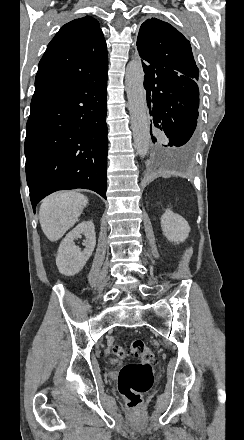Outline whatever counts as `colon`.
I'll return each mask as SVG.
<instances>
[{
    "label": "colon",
    "instance_id": "1",
    "mask_svg": "<svg viewBox=\"0 0 244 440\" xmlns=\"http://www.w3.org/2000/svg\"><path fill=\"white\" fill-rule=\"evenodd\" d=\"M109 349L120 359L131 356L138 360V363L123 366L119 375L120 394L126 399L129 410H138L142 396L153 386L155 355L143 340L131 341L126 351L117 343H111Z\"/></svg>",
    "mask_w": 244,
    "mask_h": 440
}]
</instances>
